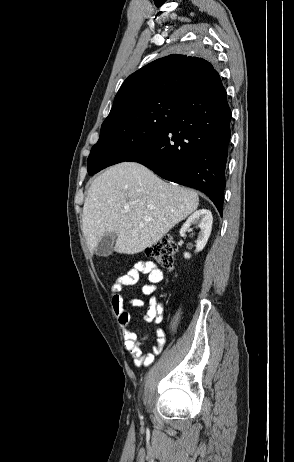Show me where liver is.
Listing matches in <instances>:
<instances>
[{"instance_id":"6515ba94","label":"liver","mask_w":294,"mask_h":462,"mask_svg":"<svg viewBox=\"0 0 294 462\" xmlns=\"http://www.w3.org/2000/svg\"><path fill=\"white\" fill-rule=\"evenodd\" d=\"M198 205L193 190L166 183L139 163L122 162L92 182L83 206L82 230L91 254L107 232L117 235L114 251L136 254L157 243ZM125 207L130 211L125 212Z\"/></svg>"}]
</instances>
